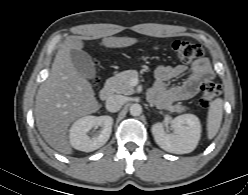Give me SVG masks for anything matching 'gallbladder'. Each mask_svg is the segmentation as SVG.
Masks as SVG:
<instances>
[{
	"label": "gallbladder",
	"mask_w": 248,
	"mask_h": 195,
	"mask_svg": "<svg viewBox=\"0 0 248 195\" xmlns=\"http://www.w3.org/2000/svg\"><path fill=\"white\" fill-rule=\"evenodd\" d=\"M70 57L75 69L85 78L94 79L96 75L93 61L88 53L72 49Z\"/></svg>",
	"instance_id": "bac80fb5"
}]
</instances>
